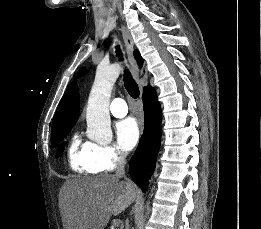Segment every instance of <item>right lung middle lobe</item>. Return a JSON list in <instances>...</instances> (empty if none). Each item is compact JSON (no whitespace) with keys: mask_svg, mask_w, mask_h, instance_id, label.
<instances>
[{"mask_svg":"<svg viewBox=\"0 0 261 229\" xmlns=\"http://www.w3.org/2000/svg\"><path fill=\"white\" fill-rule=\"evenodd\" d=\"M74 124H62L52 127V147L56 146L60 141H62L65 136L69 133ZM65 142H63L57 151L56 157H60L64 151Z\"/></svg>","mask_w":261,"mask_h":229,"instance_id":"right-lung-middle-lobe-1","label":"right lung middle lobe"}]
</instances>
